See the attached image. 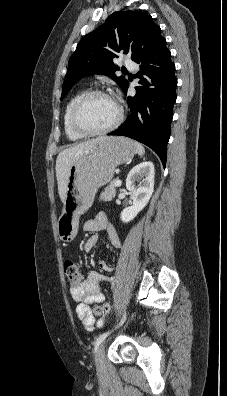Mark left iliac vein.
I'll return each instance as SVG.
<instances>
[{
  "label": "left iliac vein",
  "mask_w": 227,
  "mask_h": 396,
  "mask_svg": "<svg viewBox=\"0 0 227 396\" xmlns=\"http://www.w3.org/2000/svg\"><path fill=\"white\" fill-rule=\"evenodd\" d=\"M104 349H105V343H102L98 347L97 354H96V365H97V371L99 373L104 372L106 369Z\"/></svg>",
  "instance_id": "left-iliac-vein-1"
}]
</instances>
